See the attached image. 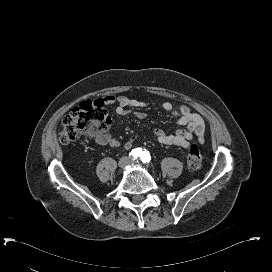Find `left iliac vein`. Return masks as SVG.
<instances>
[{
	"label": "left iliac vein",
	"instance_id": "1",
	"mask_svg": "<svg viewBox=\"0 0 272 272\" xmlns=\"http://www.w3.org/2000/svg\"><path fill=\"white\" fill-rule=\"evenodd\" d=\"M130 164H132V165H137V164H138V161L130 160Z\"/></svg>",
	"mask_w": 272,
	"mask_h": 272
}]
</instances>
